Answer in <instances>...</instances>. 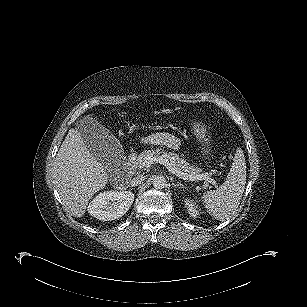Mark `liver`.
<instances>
[{
	"label": "liver",
	"instance_id": "liver-1",
	"mask_svg": "<svg viewBox=\"0 0 307 307\" xmlns=\"http://www.w3.org/2000/svg\"><path fill=\"white\" fill-rule=\"evenodd\" d=\"M107 172L104 164L87 149L81 131L69 130L57 153L52 173L54 184L71 215L82 217L85 214L89 200L107 184Z\"/></svg>",
	"mask_w": 307,
	"mask_h": 307
}]
</instances>
